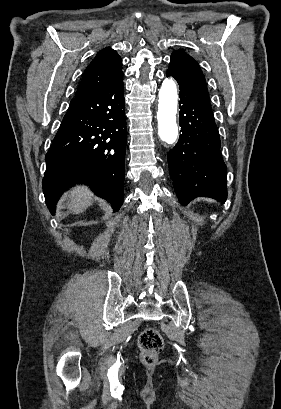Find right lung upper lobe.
Segmentation results:
<instances>
[{"label":"right lung upper lobe","mask_w":281,"mask_h":409,"mask_svg":"<svg viewBox=\"0 0 281 409\" xmlns=\"http://www.w3.org/2000/svg\"><path fill=\"white\" fill-rule=\"evenodd\" d=\"M122 60L110 47L101 50L87 66L75 98L97 93L112 85L123 74Z\"/></svg>","instance_id":"right-lung-upper-lobe-1"}]
</instances>
